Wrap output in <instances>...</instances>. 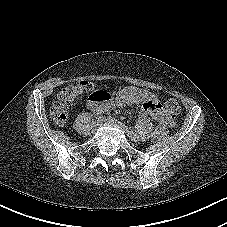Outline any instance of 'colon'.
I'll return each mask as SVG.
<instances>
[{
    "mask_svg": "<svg viewBox=\"0 0 227 227\" xmlns=\"http://www.w3.org/2000/svg\"><path fill=\"white\" fill-rule=\"evenodd\" d=\"M96 84L91 81H80L76 84L63 88L57 98L53 102L50 109V116L57 125H64L68 118V108L73 100L81 95L91 94L96 100H109L110 96L104 92H93ZM164 111L169 120H172L180 111L179 103L174 98H166L164 100ZM168 124L159 125L155 131V137L162 139L169 135Z\"/></svg>",
    "mask_w": 227,
    "mask_h": 227,
    "instance_id": "5ec220e1",
    "label": "colon"
}]
</instances>
